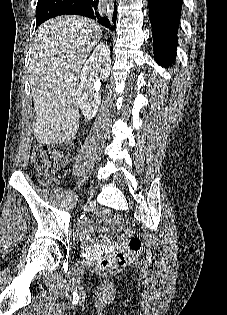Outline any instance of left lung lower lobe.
<instances>
[{"mask_svg":"<svg viewBox=\"0 0 227 315\" xmlns=\"http://www.w3.org/2000/svg\"><path fill=\"white\" fill-rule=\"evenodd\" d=\"M154 56L164 67L174 63L183 0H148Z\"/></svg>","mask_w":227,"mask_h":315,"instance_id":"left-lung-lower-lobe-1","label":"left lung lower lobe"}]
</instances>
